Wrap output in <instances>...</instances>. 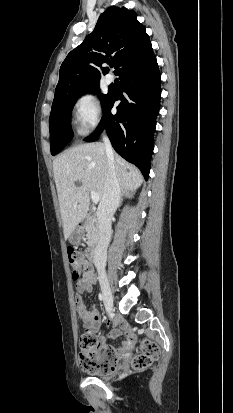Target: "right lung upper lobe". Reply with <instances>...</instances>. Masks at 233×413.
Here are the masks:
<instances>
[{
	"mask_svg": "<svg viewBox=\"0 0 233 413\" xmlns=\"http://www.w3.org/2000/svg\"><path fill=\"white\" fill-rule=\"evenodd\" d=\"M150 42L137 14L125 7H109L102 13L92 33L62 63L53 103L99 84L102 63L121 64ZM103 74L104 68L101 67Z\"/></svg>",
	"mask_w": 233,
	"mask_h": 413,
	"instance_id": "1",
	"label": "right lung upper lobe"
}]
</instances>
